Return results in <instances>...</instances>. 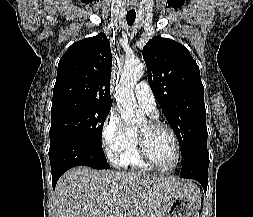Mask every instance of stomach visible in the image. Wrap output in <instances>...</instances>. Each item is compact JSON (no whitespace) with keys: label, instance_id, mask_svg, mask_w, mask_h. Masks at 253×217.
<instances>
[{"label":"stomach","instance_id":"stomach-1","mask_svg":"<svg viewBox=\"0 0 253 217\" xmlns=\"http://www.w3.org/2000/svg\"><path fill=\"white\" fill-rule=\"evenodd\" d=\"M200 201L195 198H178L172 201L163 217H200Z\"/></svg>","mask_w":253,"mask_h":217}]
</instances>
